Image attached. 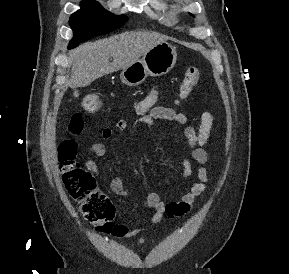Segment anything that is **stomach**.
<instances>
[{
	"mask_svg": "<svg viewBox=\"0 0 289 274\" xmlns=\"http://www.w3.org/2000/svg\"><path fill=\"white\" fill-rule=\"evenodd\" d=\"M177 53L175 47L166 41L160 42L141 59L123 69L120 79L123 84L137 86L150 76H162L173 69L176 64Z\"/></svg>",
	"mask_w": 289,
	"mask_h": 274,
	"instance_id": "1",
	"label": "stomach"
}]
</instances>
